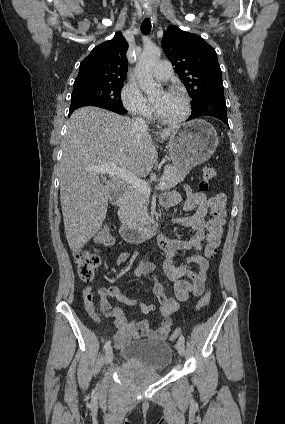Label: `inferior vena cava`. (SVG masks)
<instances>
[{
  "label": "inferior vena cava",
  "mask_w": 285,
  "mask_h": 424,
  "mask_svg": "<svg viewBox=\"0 0 285 424\" xmlns=\"http://www.w3.org/2000/svg\"><path fill=\"white\" fill-rule=\"evenodd\" d=\"M132 122L137 129L142 130V131L148 130V125H147V123L145 122L144 119L136 117L135 119L132 120Z\"/></svg>",
  "instance_id": "inferior-vena-cava-1"
}]
</instances>
